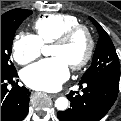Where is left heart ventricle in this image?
I'll return each instance as SVG.
<instances>
[{
  "instance_id": "b2bd125f",
  "label": "left heart ventricle",
  "mask_w": 121,
  "mask_h": 121,
  "mask_svg": "<svg viewBox=\"0 0 121 121\" xmlns=\"http://www.w3.org/2000/svg\"><path fill=\"white\" fill-rule=\"evenodd\" d=\"M86 48V36L84 33H79L66 45H53L52 56L62 57L68 65H72L84 57Z\"/></svg>"
}]
</instances>
